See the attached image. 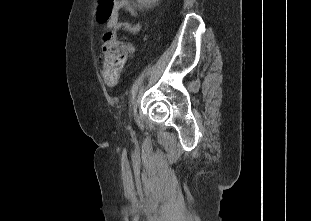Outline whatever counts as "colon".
<instances>
[{
  "mask_svg": "<svg viewBox=\"0 0 311 221\" xmlns=\"http://www.w3.org/2000/svg\"><path fill=\"white\" fill-rule=\"evenodd\" d=\"M119 0H102L97 2L98 8L103 10L96 11L97 26H106L105 17H111L114 11V4ZM99 55L102 60V75L107 86H114L120 77L127 58V48L119 44L114 32L109 31L102 38L99 48Z\"/></svg>",
  "mask_w": 311,
  "mask_h": 221,
  "instance_id": "1",
  "label": "colon"
}]
</instances>
